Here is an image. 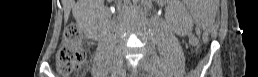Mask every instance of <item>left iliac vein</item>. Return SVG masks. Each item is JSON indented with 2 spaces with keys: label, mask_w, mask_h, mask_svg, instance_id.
I'll list each match as a JSON object with an SVG mask.
<instances>
[{
  "label": "left iliac vein",
  "mask_w": 258,
  "mask_h": 77,
  "mask_svg": "<svg viewBox=\"0 0 258 77\" xmlns=\"http://www.w3.org/2000/svg\"><path fill=\"white\" fill-rule=\"evenodd\" d=\"M140 67L151 76H160V71L155 62L148 57H144L140 60Z\"/></svg>",
  "instance_id": "4c4485c4"
}]
</instances>
